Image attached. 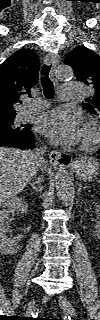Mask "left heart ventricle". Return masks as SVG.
Instances as JSON below:
<instances>
[{
    "mask_svg": "<svg viewBox=\"0 0 100 320\" xmlns=\"http://www.w3.org/2000/svg\"><path fill=\"white\" fill-rule=\"evenodd\" d=\"M87 137V132L83 129L82 132V140L85 139Z\"/></svg>",
    "mask_w": 100,
    "mask_h": 320,
    "instance_id": "obj_1",
    "label": "left heart ventricle"
}]
</instances>
